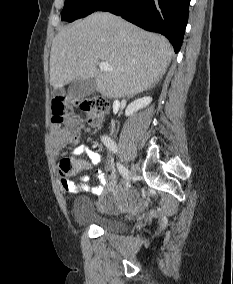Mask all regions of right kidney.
<instances>
[{
	"label": "right kidney",
	"mask_w": 233,
	"mask_h": 284,
	"mask_svg": "<svg viewBox=\"0 0 233 284\" xmlns=\"http://www.w3.org/2000/svg\"><path fill=\"white\" fill-rule=\"evenodd\" d=\"M151 101H152L151 97H143V98L136 99L135 101H133L132 103L128 105L125 111V115L126 116L133 115L134 112L149 105Z\"/></svg>",
	"instance_id": "obj_1"
}]
</instances>
